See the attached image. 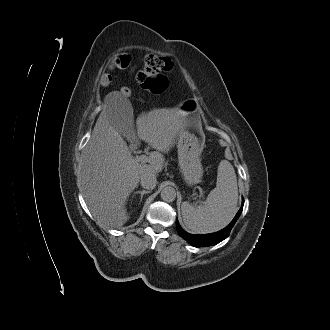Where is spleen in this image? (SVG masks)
I'll use <instances>...</instances> for the list:
<instances>
[{
	"label": "spleen",
	"instance_id": "3e777b00",
	"mask_svg": "<svg viewBox=\"0 0 330 330\" xmlns=\"http://www.w3.org/2000/svg\"><path fill=\"white\" fill-rule=\"evenodd\" d=\"M238 186L231 163L222 160L218 166L216 187L198 206L184 201L181 205L185 226L194 233H212L224 228L237 212Z\"/></svg>",
	"mask_w": 330,
	"mask_h": 330
}]
</instances>
